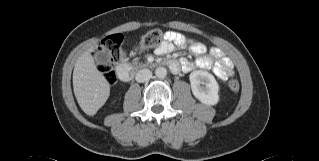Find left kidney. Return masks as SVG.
I'll list each match as a JSON object with an SVG mask.
<instances>
[{
  "mask_svg": "<svg viewBox=\"0 0 319 161\" xmlns=\"http://www.w3.org/2000/svg\"><path fill=\"white\" fill-rule=\"evenodd\" d=\"M193 95L203 104L216 105L219 101V85L214 76L207 71L196 70L190 76Z\"/></svg>",
  "mask_w": 319,
  "mask_h": 161,
  "instance_id": "obj_1",
  "label": "left kidney"
}]
</instances>
